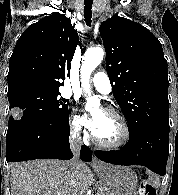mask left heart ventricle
I'll return each mask as SVG.
<instances>
[{
    "label": "left heart ventricle",
    "instance_id": "b2bd125f",
    "mask_svg": "<svg viewBox=\"0 0 178 195\" xmlns=\"http://www.w3.org/2000/svg\"><path fill=\"white\" fill-rule=\"evenodd\" d=\"M94 117L100 120L99 126L94 133L99 140L114 143L122 138L123 130L115 117L102 111L96 112Z\"/></svg>",
    "mask_w": 178,
    "mask_h": 195
}]
</instances>
